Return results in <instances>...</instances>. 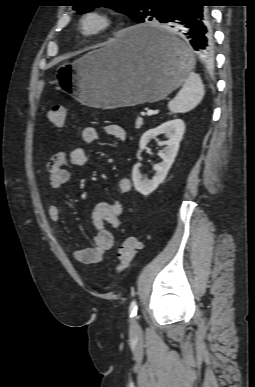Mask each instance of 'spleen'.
<instances>
[{
	"label": "spleen",
	"instance_id": "obj_1",
	"mask_svg": "<svg viewBox=\"0 0 255 387\" xmlns=\"http://www.w3.org/2000/svg\"><path fill=\"white\" fill-rule=\"evenodd\" d=\"M204 85L198 74L189 72L182 89L168 104L172 113H186L194 109L203 99Z\"/></svg>",
	"mask_w": 255,
	"mask_h": 387
}]
</instances>
